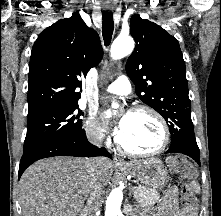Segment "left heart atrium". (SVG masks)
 Segmentation results:
<instances>
[{"mask_svg": "<svg viewBox=\"0 0 221 216\" xmlns=\"http://www.w3.org/2000/svg\"><path fill=\"white\" fill-rule=\"evenodd\" d=\"M128 114L129 113H123L121 114L117 120H115L112 124H111V128H112V132L113 134L120 138L123 131H124V128H125V124H126V121H127V118H128Z\"/></svg>", "mask_w": 221, "mask_h": 216, "instance_id": "39dd6f15", "label": "left heart atrium"}]
</instances>
